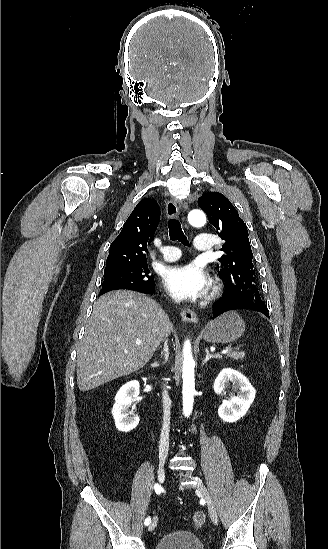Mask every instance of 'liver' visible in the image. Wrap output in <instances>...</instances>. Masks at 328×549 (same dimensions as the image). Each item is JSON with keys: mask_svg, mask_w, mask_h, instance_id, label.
<instances>
[{"mask_svg": "<svg viewBox=\"0 0 328 549\" xmlns=\"http://www.w3.org/2000/svg\"><path fill=\"white\" fill-rule=\"evenodd\" d=\"M172 331L168 315L154 299L135 291L103 295L93 305L78 349L79 391L85 393L139 371Z\"/></svg>", "mask_w": 328, "mask_h": 549, "instance_id": "6515ba94", "label": "liver"}]
</instances>
